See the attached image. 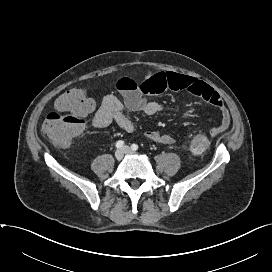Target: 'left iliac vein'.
I'll return each instance as SVG.
<instances>
[{
    "instance_id": "left-iliac-vein-1",
    "label": "left iliac vein",
    "mask_w": 272,
    "mask_h": 272,
    "mask_svg": "<svg viewBox=\"0 0 272 272\" xmlns=\"http://www.w3.org/2000/svg\"><path fill=\"white\" fill-rule=\"evenodd\" d=\"M123 151L125 154H134L135 152L128 146L123 147Z\"/></svg>"
}]
</instances>
